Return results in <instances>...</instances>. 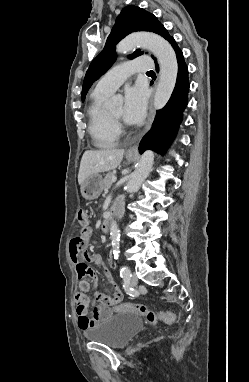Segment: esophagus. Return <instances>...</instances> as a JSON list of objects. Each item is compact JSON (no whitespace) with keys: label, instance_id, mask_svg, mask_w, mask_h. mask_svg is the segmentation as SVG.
I'll list each match as a JSON object with an SVG mask.
<instances>
[{"label":"esophagus","instance_id":"34e87169","mask_svg":"<svg viewBox=\"0 0 249 382\" xmlns=\"http://www.w3.org/2000/svg\"><path fill=\"white\" fill-rule=\"evenodd\" d=\"M154 118H155V110H154V107H153V99H152L151 102H150V106H149V113H148V118H147L146 131L150 129V127H151V125L153 123ZM127 153L128 154H137L138 153V146L137 145L131 146L127 150Z\"/></svg>","mask_w":249,"mask_h":382}]
</instances>
